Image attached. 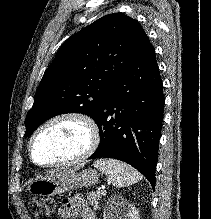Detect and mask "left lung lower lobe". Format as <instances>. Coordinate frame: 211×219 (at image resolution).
<instances>
[{
	"label": "left lung lower lobe",
	"instance_id": "1",
	"mask_svg": "<svg viewBox=\"0 0 211 219\" xmlns=\"http://www.w3.org/2000/svg\"><path fill=\"white\" fill-rule=\"evenodd\" d=\"M162 90L155 50L148 40L103 99L95 118L100 144L89 159L115 158L127 162L154 189L164 116Z\"/></svg>",
	"mask_w": 211,
	"mask_h": 219
}]
</instances>
